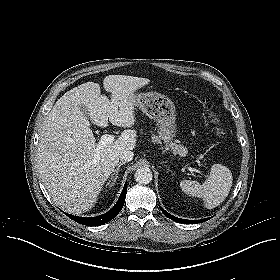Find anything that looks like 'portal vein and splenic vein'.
Masks as SVG:
<instances>
[{"instance_id": "1", "label": "portal vein and splenic vein", "mask_w": 280, "mask_h": 280, "mask_svg": "<svg viewBox=\"0 0 280 280\" xmlns=\"http://www.w3.org/2000/svg\"><path fill=\"white\" fill-rule=\"evenodd\" d=\"M113 141H114V136L113 135L104 134V135L101 136L100 141L97 145V148L101 149L103 145L111 144ZM187 169L191 173H193V172L200 173V171L198 169L193 168V167H187Z\"/></svg>"}]
</instances>
